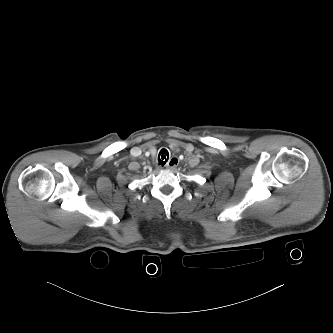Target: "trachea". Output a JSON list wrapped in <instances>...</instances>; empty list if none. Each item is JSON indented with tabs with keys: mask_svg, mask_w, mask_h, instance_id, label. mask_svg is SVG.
I'll use <instances>...</instances> for the list:
<instances>
[{
	"mask_svg": "<svg viewBox=\"0 0 333 333\" xmlns=\"http://www.w3.org/2000/svg\"><path fill=\"white\" fill-rule=\"evenodd\" d=\"M168 158H169V152L166 149H161L158 156L159 164L164 166L165 163L168 161Z\"/></svg>",
	"mask_w": 333,
	"mask_h": 333,
	"instance_id": "1",
	"label": "trachea"
}]
</instances>
